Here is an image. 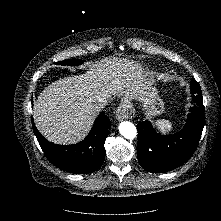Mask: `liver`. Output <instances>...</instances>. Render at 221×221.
I'll return each mask as SVG.
<instances>
[{
	"mask_svg": "<svg viewBox=\"0 0 221 221\" xmlns=\"http://www.w3.org/2000/svg\"><path fill=\"white\" fill-rule=\"evenodd\" d=\"M142 67L126 58H104L79 76L65 77L47 86L34 103L38 130L51 142L72 144L89 132L101 107L97 97L135 94Z\"/></svg>",
	"mask_w": 221,
	"mask_h": 221,
	"instance_id": "obj_1",
	"label": "liver"
}]
</instances>
